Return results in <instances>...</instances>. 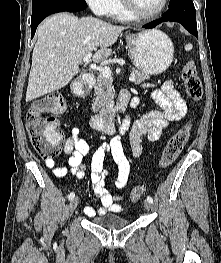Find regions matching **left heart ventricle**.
<instances>
[{"label": "left heart ventricle", "instance_id": "left-heart-ventricle-1", "mask_svg": "<svg viewBox=\"0 0 221 263\" xmlns=\"http://www.w3.org/2000/svg\"><path fill=\"white\" fill-rule=\"evenodd\" d=\"M163 0H133V3L143 13L156 11L162 4Z\"/></svg>", "mask_w": 221, "mask_h": 263}]
</instances>
